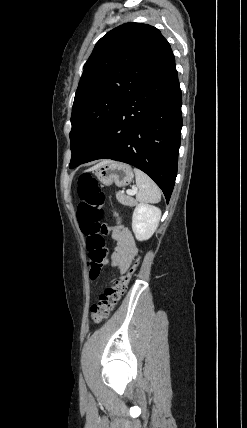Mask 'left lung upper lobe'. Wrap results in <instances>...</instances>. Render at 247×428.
<instances>
[{"instance_id":"left-lung-upper-lobe-1","label":"left lung upper lobe","mask_w":247,"mask_h":428,"mask_svg":"<svg viewBox=\"0 0 247 428\" xmlns=\"http://www.w3.org/2000/svg\"><path fill=\"white\" fill-rule=\"evenodd\" d=\"M172 56L161 32L147 24H123L96 43L72 107L70 168L89 155L122 102Z\"/></svg>"}]
</instances>
